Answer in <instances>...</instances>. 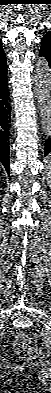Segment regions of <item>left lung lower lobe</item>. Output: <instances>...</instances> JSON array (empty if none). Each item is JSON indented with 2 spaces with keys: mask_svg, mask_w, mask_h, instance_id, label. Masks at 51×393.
<instances>
[{
  "mask_svg": "<svg viewBox=\"0 0 51 393\" xmlns=\"http://www.w3.org/2000/svg\"><path fill=\"white\" fill-rule=\"evenodd\" d=\"M40 56L44 57L47 60L49 67L51 68V59H49V57L42 52H40ZM50 152H51V137L46 141L45 144V156Z\"/></svg>",
  "mask_w": 51,
  "mask_h": 393,
  "instance_id": "1",
  "label": "left lung lower lobe"
}]
</instances>
